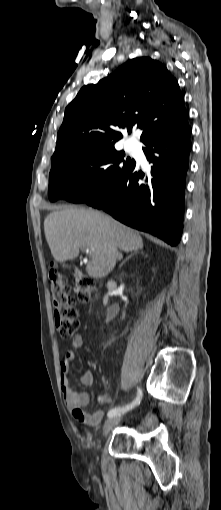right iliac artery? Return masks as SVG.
<instances>
[{
    "mask_svg": "<svg viewBox=\"0 0 221 510\" xmlns=\"http://www.w3.org/2000/svg\"><path fill=\"white\" fill-rule=\"evenodd\" d=\"M141 398H142V391L140 389H138L137 397L132 403H130L124 407H116V408L111 409L108 412V417H114V416L120 415L121 413H125V412L131 410L132 408H134L136 405H138L140 403Z\"/></svg>",
    "mask_w": 221,
    "mask_h": 510,
    "instance_id": "1",
    "label": "right iliac artery"
}]
</instances>
